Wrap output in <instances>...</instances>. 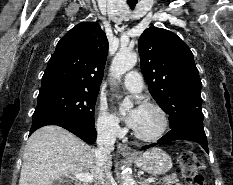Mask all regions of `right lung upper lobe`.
I'll return each instance as SVG.
<instances>
[{
  "label": "right lung upper lobe",
  "mask_w": 233,
  "mask_h": 185,
  "mask_svg": "<svg viewBox=\"0 0 233 185\" xmlns=\"http://www.w3.org/2000/svg\"><path fill=\"white\" fill-rule=\"evenodd\" d=\"M107 53L108 40L98 23L76 25L58 42L40 91L65 88L99 92Z\"/></svg>",
  "instance_id": "right-lung-upper-lobe-1"
}]
</instances>
